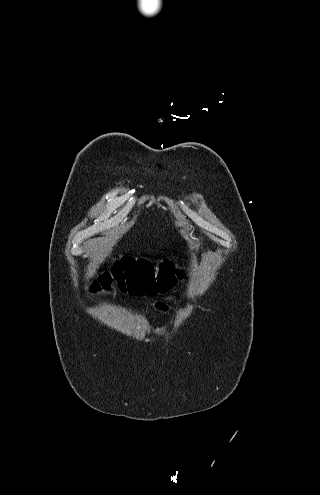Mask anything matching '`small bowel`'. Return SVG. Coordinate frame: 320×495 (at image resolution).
Listing matches in <instances>:
<instances>
[{"mask_svg":"<svg viewBox=\"0 0 320 495\" xmlns=\"http://www.w3.org/2000/svg\"><path fill=\"white\" fill-rule=\"evenodd\" d=\"M157 311L166 313L169 310V305L166 300H159L154 304Z\"/></svg>","mask_w":320,"mask_h":495,"instance_id":"1","label":"small bowel"}]
</instances>
